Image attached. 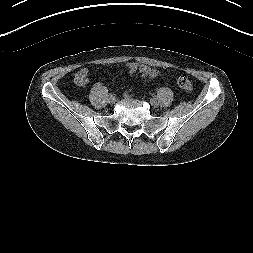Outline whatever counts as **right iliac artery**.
Returning <instances> with one entry per match:
<instances>
[{"mask_svg":"<svg viewBox=\"0 0 253 253\" xmlns=\"http://www.w3.org/2000/svg\"><path fill=\"white\" fill-rule=\"evenodd\" d=\"M113 95H114L113 93H110V94H109V97H112Z\"/></svg>","mask_w":253,"mask_h":253,"instance_id":"right-iliac-artery-1","label":"right iliac artery"}]
</instances>
